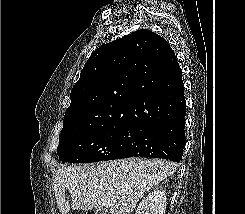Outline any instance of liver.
<instances>
[{
  "label": "liver",
  "mask_w": 245,
  "mask_h": 214,
  "mask_svg": "<svg viewBox=\"0 0 245 214\" xmlns=\"http://www.w3.org/2000/svg\"><path fill=\"white\" fill-rule=\"evenodd\" d=\"M175 170L176 165L169 161L138 158L62 167L54 179L57 207L61 214L93 208L131 214L139 199ZM66 190L72 196L71 204Z\"/></svg>",
  "instance_id": "liver-1"
}]
</instances>
